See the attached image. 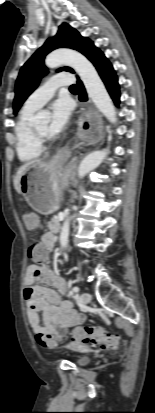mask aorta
Here are the masks:
<instances>
[{
  "label": "aorta",
  "mask_w": 155,
  "mask_h": 413,
  "mask_svg": "<svg viewBox=\"0 0 155 413\" xmlns=\"http://www.w3.org/2000/svg\"><path fill=\"white\" fill-rule=\"evenodd\" d=\"M45 64L49 68H55L66 64L71 66L81 78L88 96L93 101L97 109L111 123L117 122L116 111L112 100L99 77L93 64L81 53L70 49H58L51 52L45 59ZM46 116L45 112H38L35 120L38 121ZM106 150L91 152L81 161L78 167V177L83 178L90 171L97 168L107 156ZM70 221L66 219L61 227L60 245L66 248L68 244Z\"/></svg>",
  "instance_id": "1"
}]
</instances>
